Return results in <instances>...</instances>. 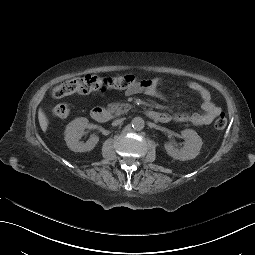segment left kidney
Instances as JSON below:
<instances>
[{"mask_svg":"<svg viewBox=\"0 0 255 255\" xmlns=\"http://www.w3.org/2000/svg\"><path fill=\"white\" fill-rule=\"evenodd\" d=\"M181 135L186 140L184 147L179 150L174 147L172 142L166 143L164 146L168 155L182 161L194 159L200 152L203 144L202 139L191 129L183 130Z\"/></svg>","mask_w":255,"mask_h":255,"instance_id":"1","label":"left kidney"}]
</instances>
